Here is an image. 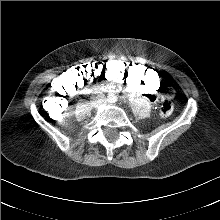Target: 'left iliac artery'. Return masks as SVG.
Returning <instances> with one entry per match:
<instances>
[{"label":"left iliac artery","mask_w":220,"mask_h":220,"mask_svg":"<svg viewBox=\"0 0 220 220\" xmlns=\"http://www.w3.org/2000/svg\"><path fill=\"white\" fill-rule=\"evenodd\" d=\"M112 100H113V102H115V101L118 100V98H117L116 96H114V97L112 98Z\"/></svg>","instance_id":"left-iliac-artery-1"}]
</instances>
